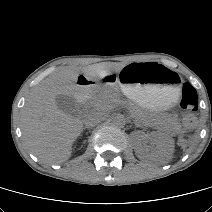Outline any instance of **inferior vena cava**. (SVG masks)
<instances>
[{"label": "inferior vena cava", "instance_id": "inferior-vena-cava-1", "mask_svg": "<svg viewBox=\"0 0 212 212\" xmlns=\"http://www.w3.org/2000/svg\"><path fill=\"white\" fill-rule=\"evenodd\" d=\"M103 115L101 112L96 110H91L87 112L84 115L83 123L86 125V127H94L98 123H100L103 120Z\"/></svg>", "mask_w": 212, "mask_h": 212}]
</instances>
